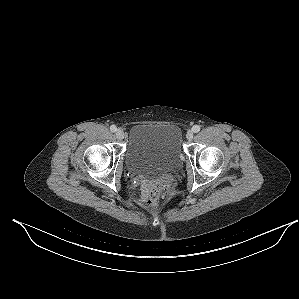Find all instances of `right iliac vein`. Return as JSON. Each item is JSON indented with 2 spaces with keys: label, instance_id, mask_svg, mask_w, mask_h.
<instances>
[{
  "label": "right iliac vein",
  "instance_id": "obj_1",
  "mask_svg": "<svg viewBox=\"0 0 299 299\" xmlns=\"http://www.w3.org/2000/svg\"><path fill=\"white\" fill-rule=\"evenodd\" d=\"M115 134H116L117 139H119V140H122L124 138V132L121 129L116 130Z\"/></svg>",
  "mask_w": 299,
  "mask_h": 299
}]
</instances>
